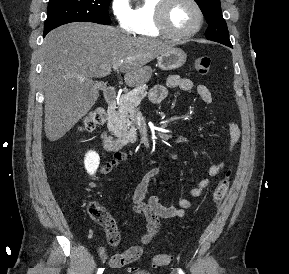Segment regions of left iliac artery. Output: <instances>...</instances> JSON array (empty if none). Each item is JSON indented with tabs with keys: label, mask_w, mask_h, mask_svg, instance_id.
<instances>
[{
	"label": "left iliac artery",
	"mask_w": 289,
	"mask_h": 274,
	"mask_svg": "<svg viewBox=\"0 0 289 274\" xmlns=\"http://www.w3.org/2000/svg\"><path fill=\"white\" fill-rule=\"evenodd\" d=\"M179 274H184V272L181 269H178Z\"/></svg>",
	"instance_id": "1"
}]
</instances>
